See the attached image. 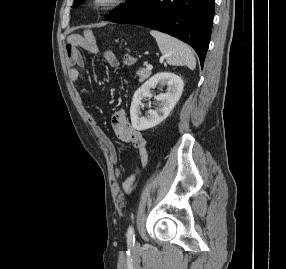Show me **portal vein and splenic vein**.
Listing matches in <instances>:
<instances>
[{"mask_svg":"<svg viewBox=\"0 0 286 269\" xmlns=\"http://www.w3.org/2000/svg\"><path fill=\"white\" fill-rule=\"evenodd\" d=\"M162 59H164V57H161ZM146 68L148 69V70H152V65H150V64H147V66H146Z\"/></svg>","mask_w":286,"mask_h":269,"instance_id":"1","label":"portal vein and splenic vein"}]
</instances>
